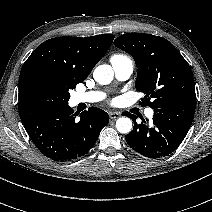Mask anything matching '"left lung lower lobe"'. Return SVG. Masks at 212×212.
<instances>
[{"label": "left lung lower lobe", "mask_w": 212, "mask_h": 212, "mask_svg": "<svg viewBox=\"0 0 212 212\" xmlns=\"http://www.w3.org/2000/svg\"><path fill=\"white\" fill-rule=\"evenodd\" d=\"M196 101H178L154 109L153 121L142 119L125 136L128 145L136 152L149 158H161L171 154L185 138L193 121Z\"/></svg>", "instance_id": "obj_1"}]
</instances>
